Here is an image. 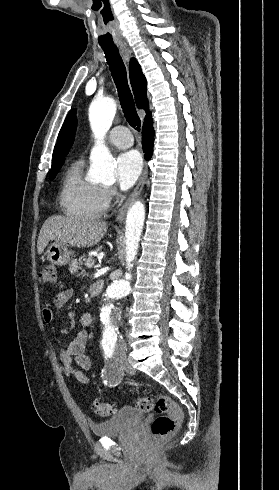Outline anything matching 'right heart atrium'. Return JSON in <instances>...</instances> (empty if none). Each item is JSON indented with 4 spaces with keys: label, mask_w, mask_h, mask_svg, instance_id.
Here are the masks:
<instances>
[{
    "label": "right heart atrium",
    "mask_w": 279,
    "mask_h": 490,
    "mask_svg": "<svg viewBox=\"0 0 279 490\" xmlns=\"http://www.w3.org/2000/svg\"><path fill=\"white\" fill-rule=\"evenodd\" d=\"M116 197L113 187H100L96 197V206L99 214H105Z\"/></svg>",
    "instance_id": "d8ad5b80"
}]
</instances>
